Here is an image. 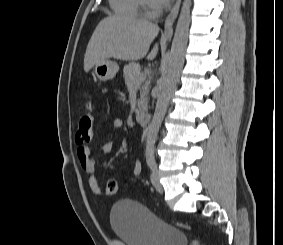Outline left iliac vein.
Returning <instances> with one entry per match:
<instances>
[{"instance_id":"4c4485c4","label":"left iliac vein","mask_w":283,"mask_h":245,"mask_svg":"<svg viewBox=\"0 0 283 245\" xmlns=\"http://www.w3.org/2000/svg\"><path fill=\"white\" fill-rule=\"evenodd\" d=\"M151 182H152V185L154 186V188L157 190V192H159L160 194H163L164 188H163V186L160 182L157 168L152 170Z\"/></svg>"}]
</instances>
